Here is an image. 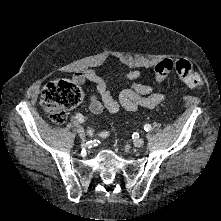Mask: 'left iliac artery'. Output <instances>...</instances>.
Masks as SVG:
<instances>
[{
    "mask_svg": "<svg viewBox=\"0 0 221 221\" xmlns=\"http://www.w3.org/2000/svg\"><path fill=\"white\" fill-rule=\"evenodd\" d=\"M144 130L147 131V132L150 131L151 130V125L150 124H145L144 125Z\"/></svg>",
    "mask_w": 221,
    "mask_h": 221,
    "instance_id": "1",
    "label": "left iliac artery"
}]
</instances>
